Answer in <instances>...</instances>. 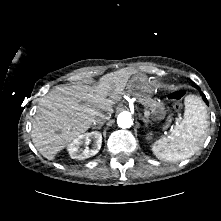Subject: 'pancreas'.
<instances>
[{
    "label": "pancreas",
    "instance_id": "pancreas-1",
    "mask_svg": "<svg viewBox=\"0 0 221 221\" xmlns=\"http://www.w3.org/2000/svg\"><path fill=\"white\" fill-rule=\"evenodd\" d=\"M138 101L149 108L151 113L158 119H162L165 116V108L162 102H158L148 96H139Z\"/></svg>",
    "mask_w": 221,
    "mask_h": 221
}]
</instances>
